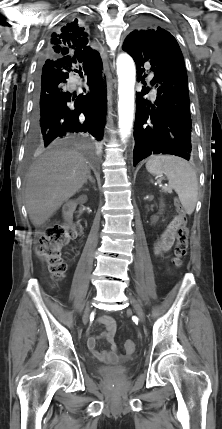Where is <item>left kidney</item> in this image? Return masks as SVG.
Returning <instances> with one entry per match:
<instances>
[{
  "instance_id": "obj_1",
  "label": "left kidney",
  "mask_w": 222,
  "mask_h": 429,
  "mask_svg": "<svg viewBox=\"0 0 222 429\" xmlns=\"http://www.w3.org/2000/svg\"><path fill=\"white\" fill-rule=\"evenodd\" d=\"M161 207H164V204H163L162 200H161ZM157 220H158L157 216H153L152 217V223H155Z\"/></svg>"
}]
</instances>
